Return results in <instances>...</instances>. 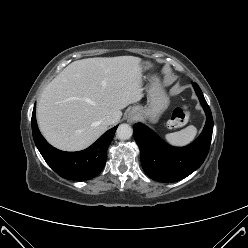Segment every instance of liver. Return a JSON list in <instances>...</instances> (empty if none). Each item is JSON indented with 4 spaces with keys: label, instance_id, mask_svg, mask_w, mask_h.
Here are the masks:
<instances>
[{
    "label": "liver",
    "instance_id": "obj_1",
    "mask_svg": "<svg viewBox=\"0 0 248 248\" xmlns=\"http://www.w3.org/2000/svg\"><path fill=\"white\" fill-rule=\"evenodd\" d=\"M143 60L134 56L87 58L69 64L44 89L37 121L47 141L58 149L78 151L95 142L111 116L143 97Z\"/></svg>",
    "mask_w": 248,
    "mask_h": 248
}]
</instances>
